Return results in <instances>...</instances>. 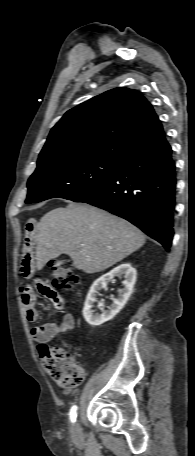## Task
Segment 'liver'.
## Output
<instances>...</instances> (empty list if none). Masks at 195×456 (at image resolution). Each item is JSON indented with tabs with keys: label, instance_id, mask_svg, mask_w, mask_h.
<instances>
[{
	"label": "liver",
	"instance_id": "obj_1",
	"mask_svg": "<svg viewBox=\"0 0 195 456\" xmlns=\"http://www.w3.org/2000/svg\"><path fill=\"white\" fill-rule=\"evenodd\" d=\"M145 243L128 221L86 204L70 203L46 213L38 224L36 267L67 254L78 270L101 272Z\"/></svg>",
	"mask_w": 195,
	"mask_h": 456
}]
</instances>
